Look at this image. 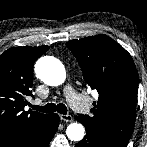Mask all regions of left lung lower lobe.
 I'll return each instance as SVG.
<instances>
[{
  "label": "left lung lower lobe",
  "mask_w": 147,
  "mask_h": 147,
  "mask_svg": "<svg viewBox=\"0 0 147 147\" xmlns=\"http://www.w3.org/2000/svg\"><path fill=\"white\" fill-rule=\"evenodd\" d=\"M86 128V135L75 147H119L115 145L111 140L106 138L99 130L87 125L83 116L75 117Z\"/></svg>",
  "instance_id": "left-lung-lower-lobe-1"
}]
</instances>
